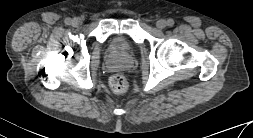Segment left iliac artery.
<instances>
[{
  "label": "left iliac artery",
  "mask_w": 253,
  "mask_h": 138,
  "mask_svg": "<svg viewBox=\"0 0 253 138\" xmlns=\"http://www.w3.org/2000/svg\"><path fill=\"white\" fill-rule=\"evenodd\" d=\"M167 25L170 26V27H172L174 25V20L173 19H169L167 21Z\"/></svg>",
  "instance_id": "1"
}]
</instances>
